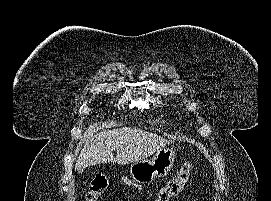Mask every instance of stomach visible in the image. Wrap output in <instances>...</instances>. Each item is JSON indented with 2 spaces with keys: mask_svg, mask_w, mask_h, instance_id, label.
I'll return each instance as SVG.
<instances>
[{
  "mask_svg": "<svg viewBox=\"0 0 271 201\" xmlns=\"http://www.w3.org/2000/svg\"><path fill=\"white\" fill-rule=\"evenodd\" d=\"M175 162V151L162 148L151 159H144L130 166L132 179L140 184L151 183L157 178L166 176Z\"/></svg>",
  "mask_w": 271,
  "mask_h": 201,
  "instance_id": "0dacf381",
  "label": "stomach"
}]
</instances>
